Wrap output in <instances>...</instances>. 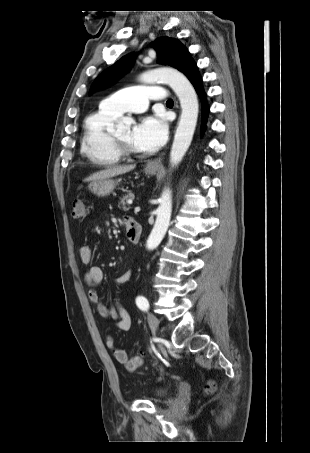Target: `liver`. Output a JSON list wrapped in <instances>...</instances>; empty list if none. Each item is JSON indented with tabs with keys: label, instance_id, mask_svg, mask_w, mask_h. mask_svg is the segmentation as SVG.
<instances>
[{
	"label": "liver",
	"instance_id": "obj_1",
	"mask_svg": "<svg viewBox=\"0 0 310 453\" xmlns=\"http://www.w3.org/2000/svg\"><path fill=\"white\" fill-rule=\"evenodd\" d=\"M135 168V165H126V166H113L106 168L104 170H100L89 177H87L84 181H97L101 179H106L110 177H114L117 175L125 174Z\"/></svg>",
	"mask_w": 310,
	"mask_h": 453
}]
</instances>
